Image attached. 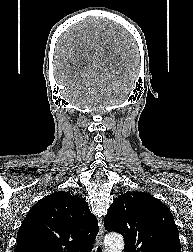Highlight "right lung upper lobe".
Wrapping results in <instances>:
<instances>
[{
    "mask_svg": "<svg viewBox=\"0 0 193 252\" xmlns=\"http://www.w3.org/2000/svg\"><path fill=\"white\" fill-rule=\"evenodd\" d=\"M98 230L97 219L83 198L54 192L26 215L16 252H91Z\"/></svg>",
    "mask_w": 193,
    "mask_h": 252,
    "instance_id": "cb5924a9",
    "label": "right lung upper lobe"
}]
</instances>
